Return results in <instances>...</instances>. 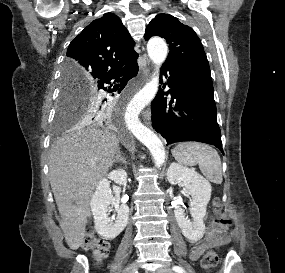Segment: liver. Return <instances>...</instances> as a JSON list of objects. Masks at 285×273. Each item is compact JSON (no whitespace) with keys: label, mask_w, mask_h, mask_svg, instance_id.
<instances>
[{"label":"liver","mask_w":285,"mask_h":273,"mask_svg":"<svg viewBox=\"0 0 285 273\" xmlns=\"http://www.w3.org/2000/svg\"><path fill=\"white\" fill-rule=\"evenodd\" d=\"M89 119L59 138L49 154V179L67 245L77 250L84 239L90 199L113 164L119 138L107 130L84 128Z\"/></svg>","instance_id":"obj_1"}]
</instances>
